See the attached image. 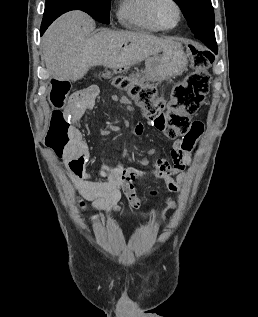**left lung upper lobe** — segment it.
<instances>
[{
    "mask_svg": "<svg viewBox=\"0 0 258 317\" xmlns=\"http://www.w3.org/2000/svg\"><path fill=\"white\" fill-rule=\"evenodd\" d=\"M183 12L188 26L194 33L214 29V11L211 0H174Z\"/></svg>",
    "mask_w": 258,
    "mask_h": 317,
    "instance_id": "left-lung-upper-lobe-1",
    "label": "left lung upper lobe"
}]
</instances>
